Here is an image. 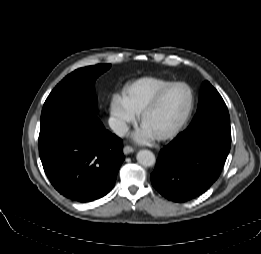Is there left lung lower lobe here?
Listing matches in <instances>:
<instances>
[{"mask_svg":"<svg viewBox=\"0 0 261 254\" xmlns=\"http://www.w3.org/2000/svg\"><path fill=\"white\" fill-rule=\"evenodd\" d=\"M230 145L228 126H210L195 134L180 133L161 150L150 176L152 185L174 202L200 196L219 177Z\"/></svg>","mask_w":261,"mask_h":254,"instance_id":"1","label":"left lung lower lobe"}]
</instances>
